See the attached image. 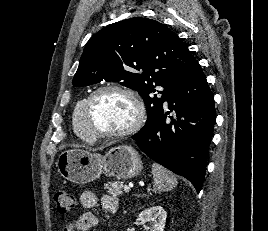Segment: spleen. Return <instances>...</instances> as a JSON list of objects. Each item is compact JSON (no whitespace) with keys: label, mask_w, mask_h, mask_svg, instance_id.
Masks as SVG:
<instances>
[{"label":"spleen","mask_w":268,"mask_h":231,"mask_svg":"<svg viewBox=\"0 0 268 231\" xmlns=\"http://www.w3.org/2000/svg\"><path fill=\"white\" fill-rule=\"evenodd\" d=\"M152 174L154 180V188L158 192L172 190L177 186V179L169 170L160 164H152Z\"/></svg>","instance_id":"1"}]
</instances>
